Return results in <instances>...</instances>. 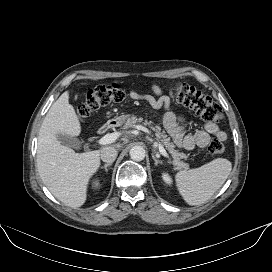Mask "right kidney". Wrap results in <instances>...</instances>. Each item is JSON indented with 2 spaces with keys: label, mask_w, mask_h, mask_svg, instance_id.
<instances>
[{
  "label": "right kidney",
  "mask_w": 272,
  "mask_h": 272,
  "mask_svg": "<svg viewBox=\"0 0 272 272\" xmlns=\"http://www.w3.org/2000/svg\"><path fill=\"white\" fill-rule=\"evenodd\" d=\"M99 185V181L98 180H96L95 182H94V187H97Z\"/></svg>",
  "instance_id": "right-kidney-1"
}]
</instances>
